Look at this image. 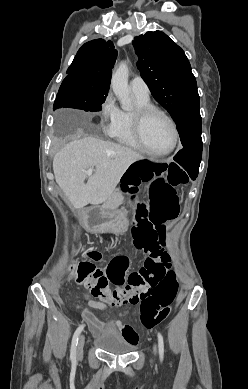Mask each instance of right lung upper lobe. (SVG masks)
<instances>
[{
  "label": "right lung upper lobe",
  "mask_w": 248,
  "mask_h": 389,
  "mask_svg": "<svg viewBox=\"0 0 248 389\" xmlns=\"http://www.w3.org/2000/svg\"><path fill=\"white\" fill-rule=\"evenodd\" d=\"M116 58L117 50L111 41L92 40L78 50L67 73L85 76L86 82L94 87L109 88Z\"/></svg>",
  "instance_id": "obj_1"
}]
</instances>
